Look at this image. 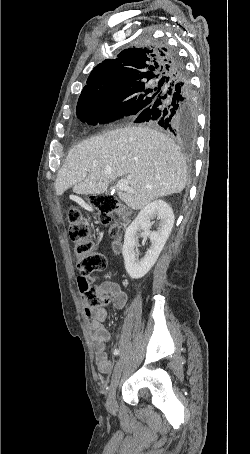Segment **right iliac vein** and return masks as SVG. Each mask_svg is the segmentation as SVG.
<instances>
[{
  "label": "right iliac vein",
  "mask_w": 250,
  "mask_h": 454,
  "mask_svg": "<svg viewBox=\"0 0 250 454\" xmlns=\"http://www.w3.org/2000/svg\"><path fill=\"white\" fill-rule=\"evenodd\" d=\"M122 370H123V357L120 356L117 361V364L115 366V369H114V372L112 375V380H111L110 387H109L107 409L110 412L116 411V408H117L116 389L120 382Z\"/></svg>",
  "instance_id": "obj_1"
}]
</instances>
